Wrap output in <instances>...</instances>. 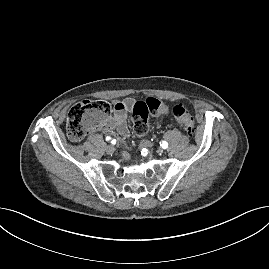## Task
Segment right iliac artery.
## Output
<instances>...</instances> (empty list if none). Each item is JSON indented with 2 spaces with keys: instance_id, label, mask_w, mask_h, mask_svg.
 <instances>
[{
  "instance_id": "1",
  "label": "right iliac artery",
  "mask_w": 269,
  "mask_h": 269,
  "mask_svg": "<svg viewBox=\"0 0 269 269\" xmlns=\"http://www.w3.org/2000/svg\"><path fill=\"white\" fill-rule=\"evenodd\" d=\"M106 141H111V137L110 136H107L106 137ZM112 143H113V140H112Z\"/></svg>"
}]
</instances>
